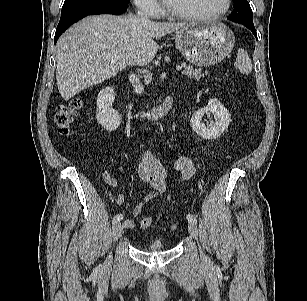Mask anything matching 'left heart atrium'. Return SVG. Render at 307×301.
I'll list each match as a JSON object with an SVG mask.
<instances>
[{
  "mask_svg": "<svg viewBox=\"0 0 307 301\" xmlns=\"http://www.w3.org/2000/svg\"><path fill=\"white\" fill-rule=\"evenodd\" d=\"M166 3H168V0H164Z\"/></svg>",
  "mask_w": 307,
  "mask_h": 301,
  "instance_id": "left-heart-atrium-1",
  "label": "left heart atrium"
}]
</instances>
